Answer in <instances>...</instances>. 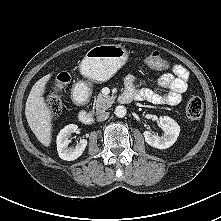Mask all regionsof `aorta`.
<instances>
[{
	"mask_svg": "<svg viewBox=\"0 0 221 221\" xmlns=\"http://www.w3.org/2000/svg\"><path fill=\"white\" fill-rule=\"evenodd\" d=\"M126 113H127V110L122 105L116 106V108L114 110V114L119 118L124 117L126 115Z\"/></svg>",
	"mask_w": 221,
	"mask_h": 221,
	"instance_id": "1",
	"label": "aorta"
}]
</instances>
